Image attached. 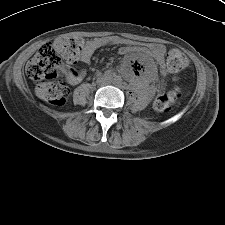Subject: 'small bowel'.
Listing matches in <instances>:
<instances>
[{"label": "small bowel", "mask_w": 225, "mask_h": 225, "mask_svg": "<svg viewBox=\"0 0 225 225\" xmlns=\"http://www.w3.org/2000/svg\"><path fill=\"white\" fill-rule=\"evenodd\" d=\"M124 43L121 39L117 37H97L87 40L83 43L82 51L80 55V61L83 63H89L93 53L104 46L117 45ZM134 52H140L149 55L157 63H161L164 59L165 48L160 44H148L146 46H121L118 53L121 55H128ZM63 73L67 76L71 83H77L86 74L85 69H81L78 72L71 71L67 67H63Z\"/></svg>", "instance_id": "1"}]
</instances>
